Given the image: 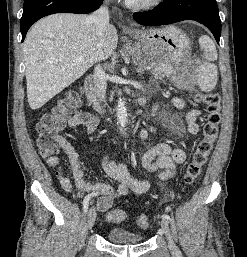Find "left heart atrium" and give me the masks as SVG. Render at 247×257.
<instances>
[{
	"label": "left heart atrium",
	"mask_w": 247,
	"mask_h": 257,
	"mask_svg": "<svg viewBox=\"0 0 247 257\" xmlns=\"http://www.w3.org/2000/svg\"><path fill=\"white\" fill-rule=\"evenodd\" d=\"M126 1H135V0H126Z\"/></svg>",
	"instance_id": "1"
}]
</instances>
